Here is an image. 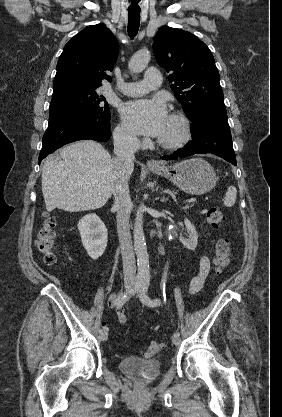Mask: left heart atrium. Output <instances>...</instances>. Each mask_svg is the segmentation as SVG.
<instances>
[{"mask_svg":"<svg viewBox=\"0 0 282 417\" xmlns=\"http://www.w3.org/2000/svg\"><path fill=\"white\" fill-rule=\"evenodd\" d=\"M121 116L130 130L151 136H159L168 119L164 105L157 100L126 103Z\"/></svg>","mask_w":282,"mask_h":417,"instance_id":"left-heart-atrium-1","label":"left heart atrium"}]
</instances>
